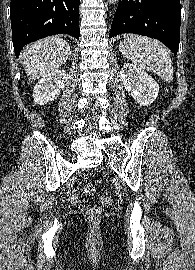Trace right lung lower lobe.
I'll list each match as a JSON object with an SVG mask.
<instances>
[{
  "instance_id": "obj_1",
  "label": "right lung lower lobe",
  "mask_w": 195,
  "mask_h": 270,
  "mask_svg": "<svg viewBox=\"0 0 195 270\" xmlns=\"http://www.w3.org/2000/svg\"><path fill=\"white\" fill-rule=\"evenodd\" d=\"M80 0H11L10 16L15 55L28 43L55 34L79 39Z\"/></svg>"
}]
</instances>
